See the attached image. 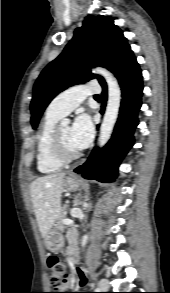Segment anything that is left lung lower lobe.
<instances>
[{"label": "left lung lower lobe", "mask_w": 170, "mask_h": 293, "mask_svg": "<svg viewBox=\"0 0 170 293\" xmlns=\"http://www.w3.org/2000/svg\"><path fill=\"white\" fill-rule=\"evenodd\" d=\"M111 71L118 79L122 91L119 118L112 138L101 150L95 149L88 160L74 170L86 179L100 182L116 179L118 166L133 145V132L138 125L137 114L141 107L143 91L142 73L130 48L113 65ZM101 86L104 99L101 110L103 113L107 98L105 81Z\"/></svg>", "instance_id": "1"}]
</instances>
